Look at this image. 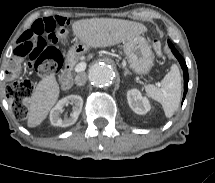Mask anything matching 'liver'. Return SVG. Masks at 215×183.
<instances>
[{
  "instance_id": "6515ba94",
  "label": "liver",
  "mask_w": 215,
  "mask_h": 183,
  "mask_svg": "<svg viewBox=\"0 0 215 183\" xmlns=\"http://www.w3.org/2000/svg\"><path fill=\"white\" fill-rule=\"evenodd\" d=\"M73 34L87 48H102L126 42L147 32L146 26L129 20L93 18L75 21ZM59 85L53 74L44 77L29 99L27 126L34 128L46 119L59 97Z\"/></svg>"
}]
</instances>
